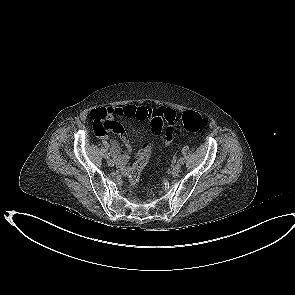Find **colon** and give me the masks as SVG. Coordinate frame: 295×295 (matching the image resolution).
I'll return each instance as SVG.
<instances>
[{"label":"colon","instance_id":"1","mask_svg":"<svg viewBox=\"0 0 295 295\" xmlns=\"http://www.w3.org/2000/svg\"><path fill=\"white\" fill-rule=\"evenodd\" d=\"M207 126V120L195 111H186L181 115L177 113H167V129H183L193 133H201ZM109 130V129H107ZM156 148L154 141L144 144L141 149L136 151L137 160L128 171V181L132 188H135L141 176L142 171L146 167L151 152Z\"/></svg>","mask_w":295,"mask_h":295}]
</instances>
